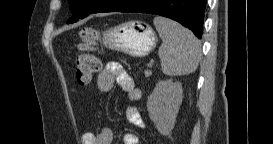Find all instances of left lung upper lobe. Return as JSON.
Instances as JSON below:
<instances>
[{"instance_id": "1", "label": "left lung upper lobe", "mask_w": 273, "mask_h": 144, "mask_svg": "<svg viewBox=\"0 0 273 144\" xmlns=\"http://www.w3.org/2000/svg\"><path fill=\"white\" fill-rule=\"evenodd\" d=\"M97 0H69L70 10L73 13L71 19H80L86 17L94 10Z\"/></svg>"}]
</instances>
